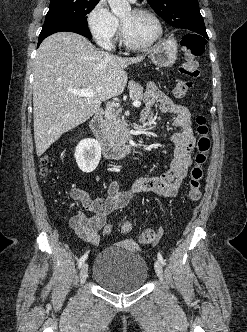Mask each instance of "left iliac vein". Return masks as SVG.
Instances as JSON below:
<instances>
[{
    "label": "left iliac vein",
    "instance_id": "1",
    "mask_svg": "<svg viewBox=\"0 0 247 332\" xmlns=\"http://www.w3.org/2000/svg\"><path fill=\"white\" fill-rule=\"evenodd\" d=\"M154 268H155V272H156L157 276L164 283L163 269H162L161 262L159 260H157L155 262Z\"/></svg>",
    "mask_w": 247,
    "mask_h": 332
}]
</instances>
